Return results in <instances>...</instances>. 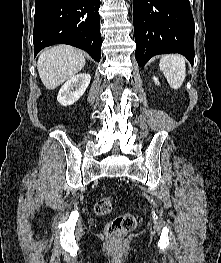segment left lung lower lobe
Here are the masks:
<instances>
[{
  "label": "left lung lower lobe",
  "mask_w": 221,
  "mask_h": 263,
  "mask_svg": "<svg viewBox=\"0 0 221 263\" xmlns=\"http://www.w3.org/2000/svg\"><path fill=\"white\" fill-rule=\"evenodd\" d=\"M133 23L140 67L165 53H180L193 64L195 29L189 0H134Z\"/></svg>",
  "instance_id": "0a47b994"
}]
</instances>
